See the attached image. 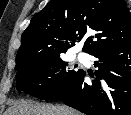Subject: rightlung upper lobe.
<instances>
[{
    "label": "right lung upper lobe",
    "instance_id": "obj_1",
    "mask_svg": "<svg viewBox=\"0 0 131 115\" xmlns=\"http://www.w3.org/2000/svg\"><path fill=\"white\" fill-rule=\"evenodd\" d=\"M88 36L83 51L131 44V15L124 0H50L21 36L16 68L48 54L66 52Z\"/></svg>",
    "mask_w": 131,
    "mask_h": 115
}]
</instances>
